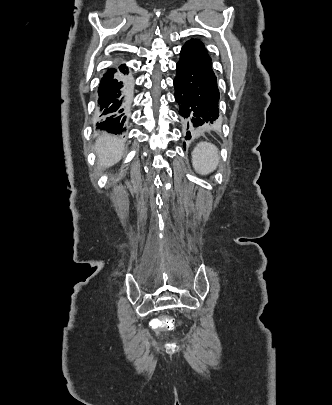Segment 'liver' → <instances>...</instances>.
<instances>
[{
  "label": "liver",
  "mask_w": 332,
  "mask_h": 405,
  "mask_svg": "<svg viewBox=\"0 0 332 405\" xmlns=\"http://www.w3.org/2000/svg\"><path fill=\"white\" fill-rule=\"evenodd\" d=\"M100 168L113 166L120 161L124 152V140L111 135H103L95 143Z\"/></svg>",
  "instance_id": "6515ba94"
}]
</instances>
